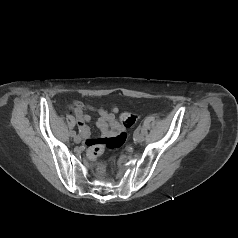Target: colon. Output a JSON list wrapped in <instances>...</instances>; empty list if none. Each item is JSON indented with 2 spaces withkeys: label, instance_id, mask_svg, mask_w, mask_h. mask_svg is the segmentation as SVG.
<instances>
[{
  "label": "colon",
  "instance_id": "1",
  "mask_svg": "<svg viewBox=\"0 0 238 238\" xmlns=\"http://www.w3.org/2000/svg\"><path fill=\"white\" fill-rule=\"evenodd\" d=\"M136 116L134 114H131L129 112L123 111L119 114L118 116V120L119 122L122 124V126H132L135 122H136ZM121 134L116 136V137H112V138H108L105 140H101L98 144L94 145L93 147H91L88 151V156L90 159L95 160L99 155H101L105 149V147L108 148H118L120 147L126 139V130H121L120 132ZM106 168L105 163L103 162H99L97 164V171L98 172H104Z\"/></svg>",
  "mask_w": 238,
  "mask_h": 238
}]
</instances>
